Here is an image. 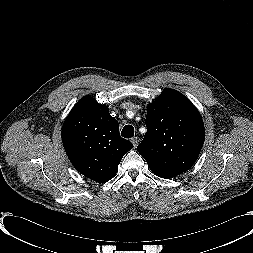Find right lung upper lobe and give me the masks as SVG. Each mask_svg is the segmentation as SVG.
<instances>
[{
	"label": "right lung upper lobe",
	"instance_id": "cb5924a9",
	"mask_svg": "<svg viewBox=\"0 0 253 253\" xmlns=\"http://www.w3.org/2000/svg\"><path fill=\"white\" fill-rule=\"evenodd\" d=\"M62 142L75 169L99 183L114 177L122 157L133 148L120 137L119 123L108 107L89 96L78 101L67 116Z\"/></svg>",
	"mask_w": 253,
	"mask_h": 253
}]
</instances>
